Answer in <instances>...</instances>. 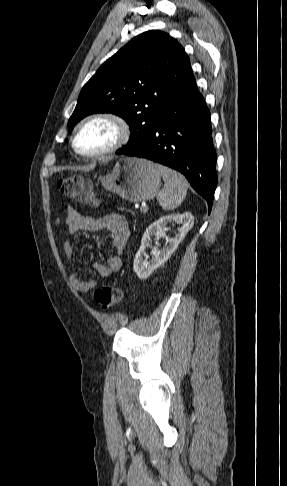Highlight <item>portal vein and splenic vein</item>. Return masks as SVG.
<instances>
[{"instance_id":"portal-vein-and-splenic-vein-1","label":"portal vein and splenic vein","mask_w":287,"mask_h":486,"mask_svg":"<svg viewBox=\"0 0 287 486\" xmlns=\"http://www.w3.org/2000/svg\"><path fill=\"white\" fill-rule=\"evenodd\" d=\"M141 211L144 212V213L148 211V207H147L146 204H142Z\"/></svg>"}]
</instances>
